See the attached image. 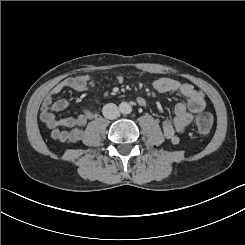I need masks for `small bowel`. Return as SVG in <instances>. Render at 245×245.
Here are the masks:
<instances>
[{"label":"small bowel","instance_id":"c3829d8e","mask_svg":"<svg viewBox=\"0 0 245 245\" xmlns=\"http://www.w3.org/2000/svg\"><path fill=\"white\" fill-rule=\"evenodd\" d=\"M116 80L121 83L123 78L118 75ZM97 85L90 76L79 75L66 78L48 91L42 101L40 119L50 131L53 139L60 142L80 141L83 136L82 127L93 117V114L88 110L82 109L81 113L76 117L58 120L55 113L70 107V103L65 99H55V97L67 88L84 92ZM152 86L160 93H178L186 98L185 102H180L176 105L174 119H167L162 123V131L165 138L172 144H178L180 142L179 135L190 125L194 114L201 112L205 108V95L191 84L168 77L154 80ZM137 103L144 106L146 100L143 97H138Z\"/></svg>","mask_w":245,"mask_h":245}]
</instances>
